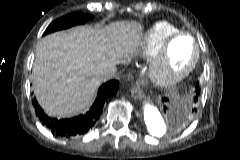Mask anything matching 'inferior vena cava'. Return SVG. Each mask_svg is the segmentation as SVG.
<instances>
[{
  "label": "inferior vena cava",
  "mask_w": 240,
  "mask_h": 160,
  "mask_svg": "<svg viewBox=\"0 0 240 160\" xmlns=\"http://www.w3.org/2000/svg\"><path fill=\"white\" fill-rule=\"evenodd\" d=\"M116 73V70L114 68H108V69H105L102 73H101V76L104 78V79H109V78H112L114 77Z\"/></svg>",
  "instance_id": "obj_1"
}]
</instances>
